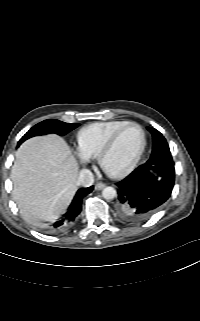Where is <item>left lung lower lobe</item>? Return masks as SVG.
I'll list each match as a JSON object with an SVG mask.
<instances>
[{"mask_svg": "<svg viewBox=\"0 0 200 321\" xmlns=\"http://www.w3.org/2000/svg\"><path fill=\"white\" fill-rule=\"evenodd\" d=\"M174 182L173 160L140 165L117 183L118 215L128 223L146 221L170 197Z\"/></svg>", "mask_w": 200, "mask_h": 321, "instance_id": "1", "label": "left lung lower lobe"}]
</instances>
